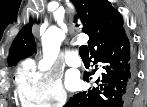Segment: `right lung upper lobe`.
Returning <instances> with one entry per match:
<instances>
[{"label":"right lung upper lobe","mask_w":147,"mask_h":107,"mask_svg":"<svg viewBox=\"0 0 147 107\" xmlns=\"http://www.w3.org/2000/svg\"><path fill=\"white\" fill-rule=\"evenodd\" d=\"M83 23V32L89 35L90 52L116 35L123 27L120 13L108 0H71ZM31 22L25 25L14 39L8 57L9 66L31 56L35 51V40Z\"/></svg>","instance_id":"cb5924a9"}]
</instances>
